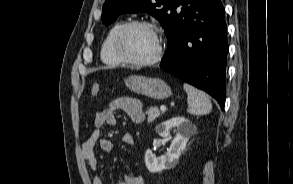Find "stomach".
I'll return each mask as SVG.
<instances>
[{"label": "stomach", "mask_w": 293, "mask_h": 184, "mask_svg": "<svg viewBox=\"0 0 293 184\" xmlns=\"http://www.w3.org/2000/svg\"><path fill=\"white\" fill-rule=\"evenodd\" d=\"M125 85L133 92L153 99H165L172 95L171 88L161 79L131 75Z\"/></svg>", "instance_id": "stomach-1"}]
</instances>
